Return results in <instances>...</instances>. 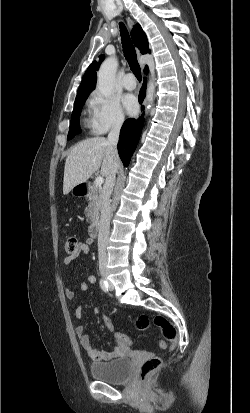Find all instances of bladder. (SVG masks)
Instances as JSON below:
<instances>
[{"label": "bladder", "mask_w": 250, "mask_h": 413, "mask_svg": "<svg viewBox=\"0 0 250 413\" xmlns=\"http://www.w3.org/2000/svg\"><path fill=\"white\" fill-rule=\"evenodd\" d=\"M133 367L134 362L131 357L120 356L111 361L92 363L90 373L96 380L117 384L129 378Z\"/></svg>", "instance_id": "obj_1"}]
</instances>
